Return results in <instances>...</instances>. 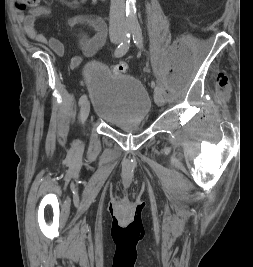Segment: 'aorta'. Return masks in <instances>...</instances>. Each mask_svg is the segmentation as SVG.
Here are the masks:
<instances>
[{
  "mask_svg": "<svg viewBox=\"0 0 253 267\" xmlns=\"http://www.w3.org/2000/svg\"><path fill=\"white\" fill-rule=\"evenodd\" d=\"M125 12L127 28H140L136 14L135 0H126Z\"/></svg>",
  "mask_w": 253,
  "mask_h": 267,
  "instance_id": "aorta-1",
  "label": "aorta"
}]
</instances>
